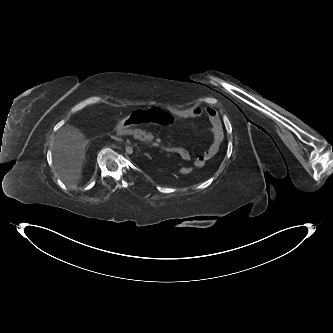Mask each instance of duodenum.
I'll return each instance as SVG.
<instances>
[{
	"label": "duodenum",
	"mask_w": 333,
	"mask_h": 333,
	"mask_svg": "<svg viewBox=\"0 0 333 333\" xmlns=\"http://www.w3.org/2000/svg\"><path fill=\"white\" fill-rule=\"evenodd\" d=\"M122 134H126V135H133L134 134V129H121V130H117V135H122Z\"/></svg>",
	"instance_id": "1"
}]
</instances>
